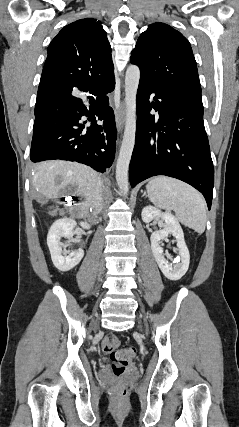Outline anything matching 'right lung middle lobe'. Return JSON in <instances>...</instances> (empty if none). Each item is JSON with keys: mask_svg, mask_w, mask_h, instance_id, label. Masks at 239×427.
<instances>
[{"mask_svg": "<svg viewBox=\"0 0 239 427\" xmlns=\"http://www.w3.org/2000/svg\"><path fill=\"white\" fill-rule=\"evenodd\" d=\"M40 105H41V103H40V102H36V105H35V113L40 109Z\"/></svg>", "mask_w": 239, "mask_h": 427, "instance_id": "dd1d6c3e", "label": "right lung middle lobe"}]
</instances>
